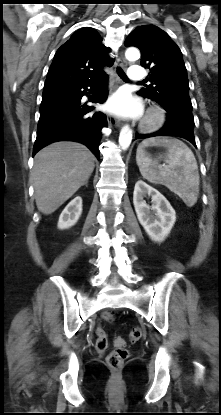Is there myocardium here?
Wrapping results in <instances>:
<instances>
[{"label":"myocardium","instance_id":"obj_1","mask_svg":"<svg viewBox=\"0 0 221 415\" xmlns=\"http://www.w3.org/2000/svg\"><path fill=\"white\" fill-rule=\"evenodd\" d=\"M165 120V110L158 105H152L148 108L142 120L141 129L145 132L156 131L162 127V125L165 123Z\"/></svg>","mask_w":221,"mask_h":415}]
</instances>
